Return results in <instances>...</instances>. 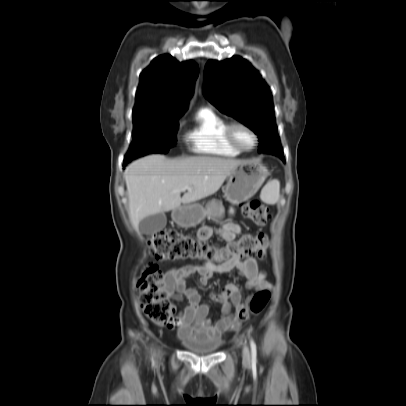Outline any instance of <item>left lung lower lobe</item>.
<instances>
[{"instance_id": "0a47b994", "label": "left lung lower lobe", "mask_w": 406, "mask_h": 406, "mask_svg": "<svg viewBox=\"0 0 406 406\" xmlns=\"http://www.w3.org/2000/svg\"><path fill=\"white\" fill-rule=\"evenodd\" d=\"M281 158H282V160H285V159H284V156H282Z\"/></svg>"}]
</instances>
